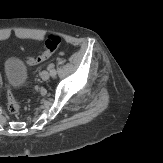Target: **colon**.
<instances>
[{"mask_svg": "<svg viewBox=\"0 0 163 163\" xmlns=\"http://www.w3.org/2000/svg\"><path fill=\"white\" fill-rule=\"evenodd\" d=\"M61 45V38L55 35H50L45 39L44 42V47L45 50L43 53L37 57H27L25 62L28 66H36L39 65L46 60H48L54 53L55 51L59 48ZM7 108L8 111L12 114H16L20 110V105L17 100V97L15 94L11 91H7Z\"/></svg>", "mask_w": 163, "mask_h": 163, "instance_id": "1", "label": "colon"}]
</instances>
